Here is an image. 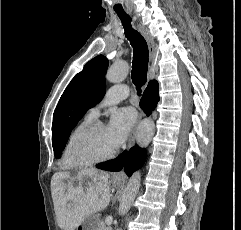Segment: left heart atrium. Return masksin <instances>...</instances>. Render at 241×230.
<instances>
[{
	"label": "left heart atrium",
	"mask_w": 241,
	"mask_h": 230,
	"mask_svg": "<svg viewBox=\"0 0 241 230\" xmlns=\"http://www.w3.org/2000/svg\"><path fill=\"white\" fill-rule=\"evenodd\" d=\"M134 123L135 114L132 109L125 108L113 112L106 126L107 138L113 149L119 148L126 141Z\"/></svg>",
	"instance_id": "obj_1"
}]
</instances>
